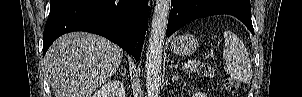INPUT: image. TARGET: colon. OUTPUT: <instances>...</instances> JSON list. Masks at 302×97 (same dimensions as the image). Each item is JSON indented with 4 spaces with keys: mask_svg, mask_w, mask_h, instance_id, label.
I'll return each instance as SVG.
<instances>
[{
    "mask_svg": "<svg viewBox=\"0 0 302 97\" xmlns=\"http://www.w3.org/2000/svg\"><path fill=\"white\" fill-rule=\"evenodd\" d=\"M199 73L204 78L211 79L215 75V70L210 64H202ZM238 87V82L234 79L228 78L225 81V88L229 91H234Z\"/></svg>",
    "mask_w": 302,
    "mask_h": 97,
    "instance_id": "obj_1",
    "label": "colon"
}]
</instances>
